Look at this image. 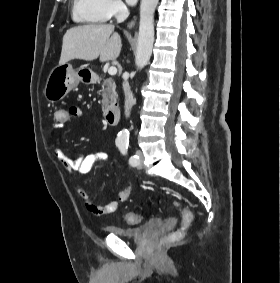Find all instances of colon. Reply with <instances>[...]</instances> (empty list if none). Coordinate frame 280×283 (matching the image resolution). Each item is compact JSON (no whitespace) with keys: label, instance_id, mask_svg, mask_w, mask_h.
<instances>
[{"label":"colon","instance_id":"colon-1","mask_svg":"<svg viewBox=\"0 0 280 283\" xmlns=\"http://www.w3.org/2000/svg\"><path fill=\"white\" fill-rule=\"evenodd\" d=\"M68 107H57L54 111V122H59L60 125H67L72 123V114H68ZM174 204L181 208V226L180 229L172 235V237L177 238L181 236L185 231H187L193 224L194 216L193 213L183 206L179 201H175ZM125 221L128 224H136L140 221V216L136 212H127L124 216Z\"/></svg>","mask_w":280,"mask_h":283}]
</instances>
